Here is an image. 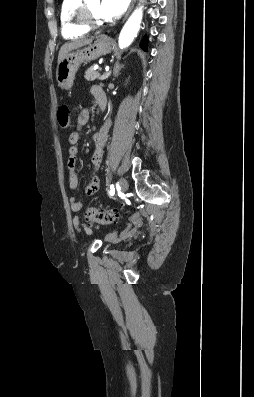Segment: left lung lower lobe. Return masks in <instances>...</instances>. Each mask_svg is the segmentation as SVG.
<instances>
[{
  "label": "left lung lower lobe",
  "mask_w": 254,
  "mask_h": 397,
  "mask_svg": "<svg viewBox=\"0 0 254 397\" xmlns=\"http://www.w3.org/2000/svg\"><path fill=\"white\" fill-rule=\"evenodd\" d=\"M140 45H141L143 50H145V51L147 50V38L146 37L143 38V40L141 41Z\"/></svg>",
  "instance_id": "obj_1"
}]
</instances>
